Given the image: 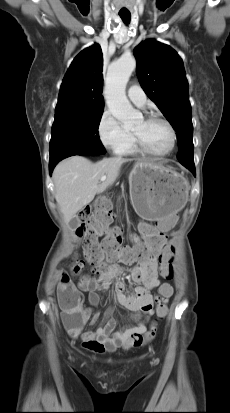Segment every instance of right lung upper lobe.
I'll return each mask as SVG.
<instances>
[{
    "label": "right lung upper lobe",
    "mask_w": 230,
    "mask_h": 413,
    "mask_svg": "<svg viewBox=\"0 0 230 413\" xmlns=\"http://www.w3.org/2000/svg\"><path fill=\"white\" fill-rule=\"evenodd\" d=\"M103 56L99 44L81 51L60 87L55 115L103 112Z\"/></svg>",
    "instance_id": "obj_1"
}]
</instances>
